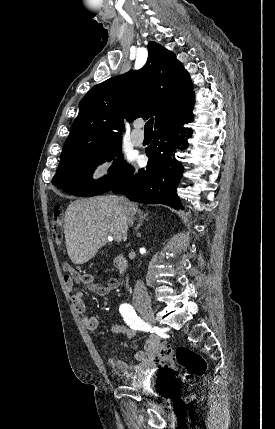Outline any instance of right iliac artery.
Wrapping results in <instances>:
<instances>
[{"instance_id":"obj_1","label":"right iliac artery","mask_w":275,"mask_h":429,"mask_svg":"<svg viewBox=\"0 0 275 429\" xmlns=\"http://www.w3.org/2000/svg\"><path fill=\"white\" fill-rule=\"evenodd\" d=\"M119 310L126 324L129 325L132 329L142 330L144 328L143 320L138 317L135 310L130 304H121Z\"/></svg>"}]
</instances>
